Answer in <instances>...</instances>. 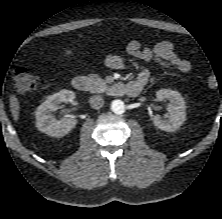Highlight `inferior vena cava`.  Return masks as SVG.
I'll use <instances>...</instances> for the list:
<instances>
[{
	"instance_id": "602c4592",
	"label": "inferior vena cava",
	"mask_w": 222,
	"mask_h": 219,
	"mask_svg": "<svg viewBox=\"0 0 222 219\" xmlns=\"http://www.w3.org/2000/svg\"><path fill=\"white\" fill-rule=\"evenodd\" d=\"M90 106L94 109H99L104 105V100L101 96L94 95L89 99Z\"/></svg>"
}]
</instances>
